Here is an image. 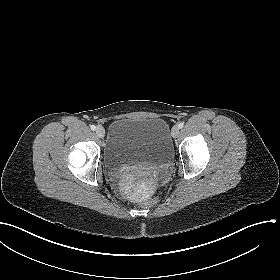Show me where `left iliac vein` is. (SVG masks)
<instances>
[{"label":"left iliac vein","instance_id":"4c4485c4","mask_svg":"<svg viewBox=\"0 0 280 280\" xmlns=\"http://www.w3.org/2000/svg\"><path fill=\"white\" fill-rule=\"evenodd\" d=\"M179 134V127L178 126H173V128L171 129V135L172 137H177Z\"/></svg>","mask_w":280,"mask_h":280}]
</instances>
